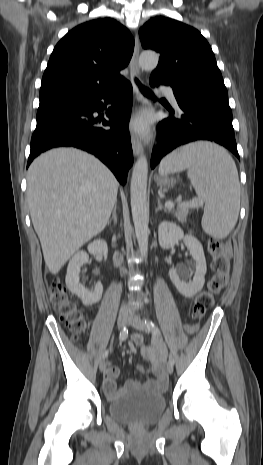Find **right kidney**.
I'll use <instances>...</instances> for the list:
<instances>
[{
    "label": "right kidney",
    "instance_id": "ca27d5eb",
    "mask_svg": "<svg viewBox=\"0 0 263 465\" xmlns=\"http://www.w3.org/2000/svg\"><path fill=\"white\" fill-rule=\"evenodd\" d=\"M88 252L94 255H103L107 257L108 246L104 240H95L88 245ZM89 255L85 251H78L70 260L67 268L66 286L76 294L86 306L93 305L100 301L103 293V286L98 282L93 292H89L79 281L80 268L87 263Z\"/></svg>",
    "mask_w": 263,
    "mask_h": 465
}]
</instances>
